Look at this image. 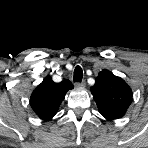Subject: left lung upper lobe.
Wrapping results in <instances>:
<instances>
[{
	"mask_svg": "<svg viewBox=\"0 0 148 148\" xmlns=\"http://www.w3.org/2000/svg\"><path fill=\"white\" fill-rule=\"evenodd\" d=\"M90 90L100 114L110 121L123 117L132 102L131 88L108 70L99 73Z\"/></svg>",
	"mask_w": 148,
	"mask_h": 148,
	"instance_id": "obj_1",
	"label": "left lung upper lobe"
}]
</instances>
